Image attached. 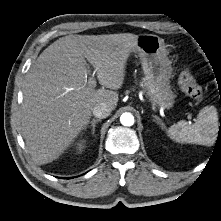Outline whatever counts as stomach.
Segmentation results:
<instances>
[{
	"label": "stomach",
	"mask_w": 221,
	"mask_h": 221,
	"mask_svg": "<svg viewBox=\"0 0 221 221\" xmlns=\"http://www.w3.org/2000/svg\"><path fill=\"white\" fill-rule=\"evenodd\" d=\"M138 52L144 73L146 95L153 105L169 109L174 104L175 94L171 90V61L164 40L157 35L138 38Z\"/></svg>",
	"instance_id": "obj_1"
}]
</instances>
